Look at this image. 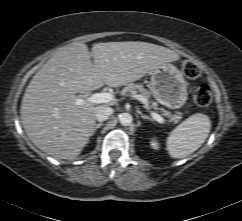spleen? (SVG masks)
I'll list each match as a JSON object with an SVG mask.
<instances>
[{
  "mask_svg": "<svg viewBox=\"0 0 242 221\" xmlns=\"http://www.w3.org/2000/svg\"><path fill=\"white\" fill-rule=\"evenodd\" d=\"M211 130L207 115L194 114L174 128L166 141L168 153L173 158H185L198 150Z\"/></svg>",
  "mask_w": 242,
  "mask_h": 221,
  "instance_id": "spleen-1",
  "label": "spleen"
}]
</instances>
